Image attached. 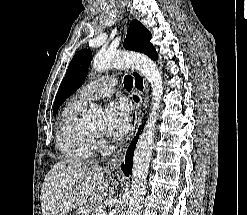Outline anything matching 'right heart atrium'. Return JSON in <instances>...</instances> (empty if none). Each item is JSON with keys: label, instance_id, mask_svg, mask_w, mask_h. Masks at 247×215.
<instances>
[{"label": "right heart atrium", "instance_id": "right-heart-atrium-1", "mask_svg": "<svg viewBox=\"0 0 247 215\" xmlns=\"http://www.w3.org/2000/svg\"><path fill=\"white\" fill-rule=\"evenodd\" d=\"M96 142H97V147L99 146L100 148H104L105 147V140L101 137V136H98L97 139H96Z\"/></svg>", "mask_w": 247, "mask_h": 215}]
</instances>
